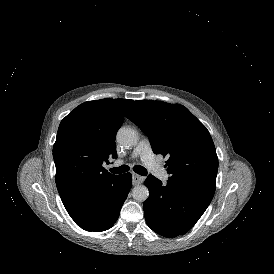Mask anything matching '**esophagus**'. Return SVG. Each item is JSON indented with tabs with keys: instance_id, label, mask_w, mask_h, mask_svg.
<instances>
[{
	"instance_id": "obj_1",
	"label": "esophagus",
	"mask_w": 274,
	"mask_h": 274,
	"mask_svg": "<svg viewBox=\"0 0 274 274\" xmlns=\"http://www.w3.org/2000/svg\"><path fill=\"white\" fill-rule=\"evenodd\" d=\"M144 177L136 174V173H132V182H133V185H140L144 182Z\"/></svg>"
}]
</instances>
